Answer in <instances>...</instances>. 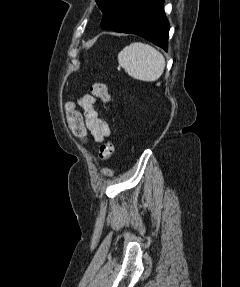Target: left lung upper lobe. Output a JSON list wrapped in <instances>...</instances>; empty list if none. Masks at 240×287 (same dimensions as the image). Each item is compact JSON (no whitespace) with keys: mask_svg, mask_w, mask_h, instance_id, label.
<instances>
[{"mask_svg":"<svg viewBox=\"0 0 240 287\" xmlns=\"http://www.w3.org/2000/svg\"><path fill=\"white\" fill-rule=\"evenodd\" d=\"M98 7L103 11L104 7L106 6L108 0H96Z\"/></svg>","mask_w":240,"mask_h":287,"instance_id":"1","label":"left lung upper lobe"}]
</instances>
